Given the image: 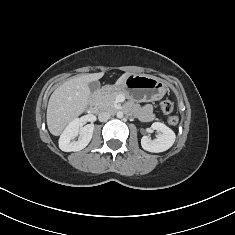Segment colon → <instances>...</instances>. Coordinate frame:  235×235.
<instances>
[{"mask_svg":"<svg viewBox=\"0 0 235 235\" xmlns=\"http://www.w3.org/2000/svg\"><path fill=\"white\" fill-rule=\"evenodd\" d=\"M160 109L163 114L170 115L173 112V104L168 100L162 101L160 103ZM169 122L170 124L175 125L178 122V118L176 116H170Z\"/></svg>","mask_w":235,"mask_h":235,"instance_id":"1","label":"colon"}]
</instances>
